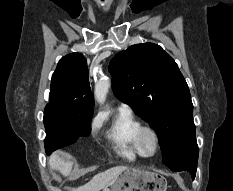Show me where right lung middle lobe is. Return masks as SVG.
Listing matches in <instances>:
<instances>
[{
    "label": "right lung middle lobe",
    "instance_id": "right-lung-middle-lobe-1",
    "mask_svg": "<svg viewBox=\"0 0 233 191\" xmlns=\"http://www.w3.org/2000/svg\"><path fill=\"white\" fill-rule=\"evenodd\" d=\"M92 116L93 111L77 112L46 106L43 119L46 129V153L73 144L79 136H88Z\"/></svg>",
    "mask_w": 233,
    "mask_h": 191
}]
</instances>
